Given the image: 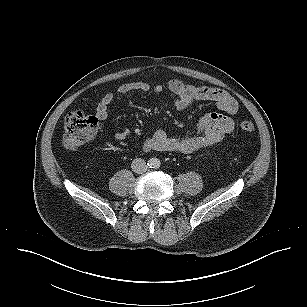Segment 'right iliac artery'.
Wrapping results in <instances>:
<instances>
[{
  "label": "right iliac artery",
  "instance_id": "right-iliac-artery-1",
  "mask_svg": "<svg viewBox=\"0 0 307 307\" xmlns=\"http://www.w3.org/2000/svg\"><path fill=\"white\" fill-rule=\"evenodd\" d=\"M147 165H148V166H150V168H151V166H152V163H151V162H148V163H147Z\"/></svg>",
  "mask_w": 307,
  "mask_h": 307
}]
</instances>
